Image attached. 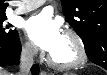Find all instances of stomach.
<instances>
[{
	"instance_id": "obj_1",
	"label": "stomach",
	"mask_w": 107,
	"mask_h": 75,
	"mask_svg": "<svg viewBox=\"0 0 107 75\" xmlns=\"http://www.w3.org/2000/svg\"><path fill=\"white\" fill-rule=\"evenodd\" d=\"M64 75H75V74H72V73L67 74V73H66V74H64Z\"/></svg>"
}]
</instances>
